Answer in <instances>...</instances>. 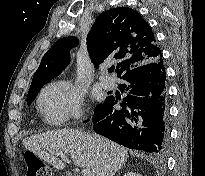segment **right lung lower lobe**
Wrapping results in <instances>:
<instances>
[{
    "mask_svg": "<svg viewBox=\"0 0 205 176\" xmlns=\"http://www.w3.org/2000/svg\"><path fill=\"white\" fill-rule=\"evenodd\" d=\"M127 96L115 110L114 97L95 109L93 129L127 148L163 155L167 149V82L162 60L141 64L122 77Z\"/></svg>",
    "mask_w": 205,
    "mask_h": 176,
    "instance_id": "right-lung-lower-lobe-1",
    "label": "right lung lower lobe"
}]
</instances>
